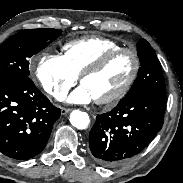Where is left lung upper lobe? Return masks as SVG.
<instances>
[{"instance_id":"1","label":"left lung upper lobe","mask_w":183,"mask_h":183,"mask_svg":"<svg viewBox=\"0 0 183 183\" xmlns=\"http://www.w3.org/2000/svg\"><path fill=\"white\" fill-rule=\"evenodd\" d=\"M137 53L141 67L139 68L138 76L134 84L125 98L140 92H165L161 64L150 44L145 39L138 42Z\"/></svg>"}]
</instances>
